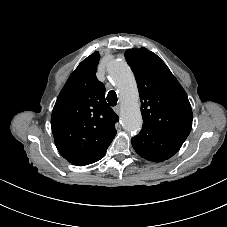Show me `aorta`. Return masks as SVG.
Returning <instances> with one entry per match:
<instances>
[{
    "label": "aorta",
    "instance_id": "aorta-1",
    "mask_svg": "<svg viewBox=\"0 0 227 227\" xmlns=\"http://www.w3.org/2000/svg\"><path fill=\"white\" fill-rule=\"evenodd\" d=\"M107 72L120 92L123 128L127 132L135 133L142 127V117L138 102V90L132 71L125 61L114 59L109 62Z\"/></svg>",
    "mask_w": 227,
    "mask_h": 227
}]
</instances>
